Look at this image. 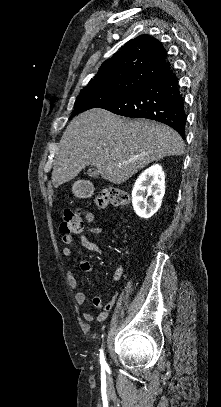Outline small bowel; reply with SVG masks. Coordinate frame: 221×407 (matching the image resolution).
I'll return each instance as SVG.
<instances>
[{
	"mask_svg": "<svg viewBox=\"0 0 221 407\" xmlns=\"http://www.w3.org/2000/svg\"><path fill=\"white\" fill-rule=\"evenodd\" d=\"M93 232L101 233L102 229L96 228L93 230ZM78 239L84 248H86L89 251H92L98 255L102 254L101 248L96 243L90 241L85 235H80L78 237ZM62 240H63V247H62L63 255L68 258L72 257L73 250L71 248V244L74 241L73 237L64 236ZM80 269L83 272L92 273L95 271V266L86 260H82L80 262ZM120 277H121L120 270L115 271V273L113 275V280L117 281L120 279ZM66 281H67V284L70 289L75 290L77 288V286H78L77 279H76L73 271L70 269L67 271ZM116 298H117V294L113 295V297L110 299V301L108 303L103 304L101 297L98 295H95L92 299V304L96 309L100 310V313L97 316H95L92 313H85L84 319L87 321L97 320L98 322H102L106 318L107 312L115 304ZM86 300H87V293L85 291H78L77 293H75L74 302L77 306L83 305L86 302Z\"/></svg>",
	"mask_w": 221,
	"mask_h": 407,
	"instance_id": "small-bowel-1",
	"label": "small bowel"
}]
</instances>
